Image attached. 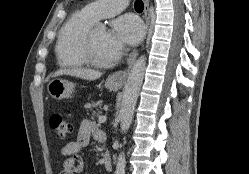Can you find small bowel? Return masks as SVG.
Returning <instances> with one entry per match:
<instances>
[{"mask_svg":"<svg viewBox=\"0 0 249 174\" xmlns=\"http://www.w3.org/2000/svg\"><path fill=\"white\" fill-rule=\"evenodd\" d=\"M91 137L103 140V134L91 120H83L74 141L68 142L61 149V154L65 160L61 166L59 174H76L82 171L83 161L80 151L89 144Z\"/></svg>","mask_w":249,"mask_h":174,"instance_id":"c3829d8e","label":"small bowel"}]
</instances>
